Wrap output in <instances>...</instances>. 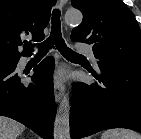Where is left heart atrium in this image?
<instances>
[{"instance_id":"39dd6f15","label":"left heart atrium","mask_w":141,"mask_h":139,"mask_svg":"<svg viewBox=\"0 0 141 139\" xmlns=\"http://www.w3.org/2000/svg\"><path fill=\"white\" fill-rule=\"evenodd\" d=\"M59 78H60V77H59V76H57V80H59Z\"/></svg>"}]
</instances>
